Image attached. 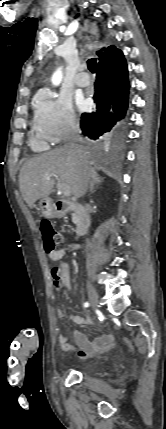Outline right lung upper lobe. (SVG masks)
<instances>
[{
  "label": "right lung upper lobe",
  "mask_w": 166,
  "mask_h": 429,
  "mask_svg": "<svg viewBox=\"0 0 166 429\" xmlns=\"http://www.w3.org/2000/svg\"><path fill=\"white\" fill-rule=\"evenodd\" d=\"M118 51H119V49H117L115 46H109L107 48H102V49L97 51L98 60H100L102 58L111 57V56L115 55Z\"/></svg>",
  "instance_id": "cb5924a9"
}]
</instances>
